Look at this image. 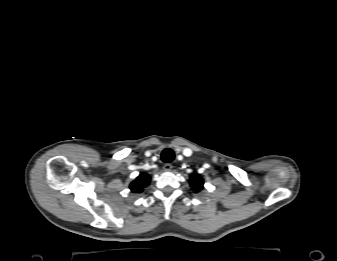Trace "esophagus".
Masks as SVG:
<instances>
[{"label": "esophagus", "mask_w": 337, "mask_h": 261, "mask_svg": "<svg viewBox=\"0 0 337 261\" xmlns=\"http://www.w3.org/2000/svg\"><path fill=\"white\" fill-rule=\"evenodd\" d=\"M172 168H173V166H172V164H170V163H166V164H164V166H163L164 171H171Z\"/></svg>", "instance_id": "34e87169"}]
</instances>
